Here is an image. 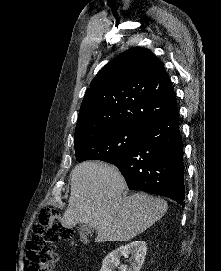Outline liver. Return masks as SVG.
I'll return each mask as SVG.
<instances>
[{
	"instance_id": "1",
	"label": "liver",
	"mask_w": 221,
	"mask_h": 271,
	"mask_svg": "<svg viewBox=\"0 0 221 271\" xmlns=\"http://www.w3.org/2000/svg\"><path fill=\"white\" fill-rule=\"evenodd\" d=\"M126 181L115 165L82 161L71 171L68 207L63 227L88 223L97 229L95 241H129L160 219L168 209L162 197L132 193L124 197Z\"/></svg>"
}]
</instances>
